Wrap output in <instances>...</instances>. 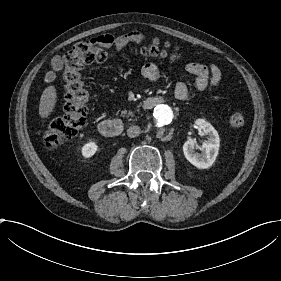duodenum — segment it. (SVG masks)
<instances>
[{"instance_id": "410a0bca", "label": "duodenum", "mask_w": 281, "mask_h": 281, "mask_svg": "<svg viewBox=\"0 0 281 281\" xmlns=\"http://www.w3.org/2000/svg\"><path fill=\"white\" fill-rule=\"evenodd\" d=\"M165 99L158 96H151L142 101V107L144 109H152L156 105L162 104ZM98 129L100 133L107 137H115L122 133L123 123L119 119H107L100 122Z\"/></svg>"}]
</instances>
